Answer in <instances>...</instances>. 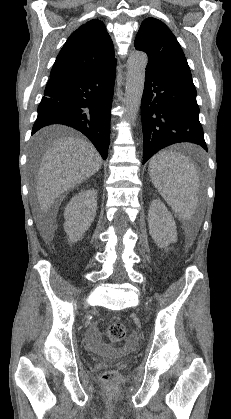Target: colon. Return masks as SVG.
I'll return each mask as SVG.
<instances>
[{
	"label": "colon",
	"instance_id": "obj_1",
	"mask_svg": "<svg viewBox=\"0 0 231 419\" xmlns=\"http://www.w3.org/2000/svg\"><path fill=\"white\" fill-rule=\"evenodd\" d=\"M127 330L121 322H113L108 326L107 336L112 343H119L126 337ZM101 381L107 388H112L116 385L117 377L114 370H107L101 374Z\"/></svg>",
	"mask_w": 231,
	"mask_h": 419
}]
</instances>
